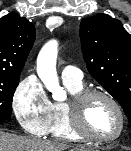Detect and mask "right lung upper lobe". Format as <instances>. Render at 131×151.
Returning <instances> with one entry per match:
<instances>
[{
	"instance_id": "cb5924a9",
	"label": "right lung upper lobe",
	"mask_w": 131,
	"mask_h": 151,
	"mask_svg": "<svg viewBox=\"0 0 131 151\" xmlns=\"http://www.w3.org/2000/svg\"><path fill=\"white\" fill-rule=\"evenodd\" d=\"M35 41V26L10 13L0 19V74L21 73Z\"/></svg>"
}]
</instances>
